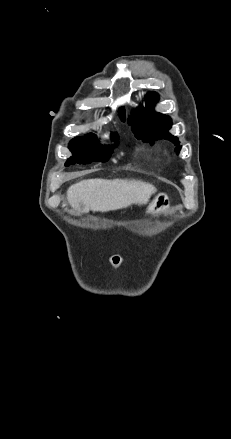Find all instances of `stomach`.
Here are the masks:
<instances>
[{"mask_svg": "<svg viewBox=\"0 0 231 439\" xmlns=\"http://www.w3.org/2000/svg\"><path fill=\"white\" fill-rule=\"evenodd\" d=\"M170 201L165 193H160L156 198L150 203L148 207V212L153 215H158L163 213L169 208Z\"/></svg>", "mask_w": 231, "mask_h": 439, "instance_id": "0dacf381", "label": "stomach"}]
</instances>
